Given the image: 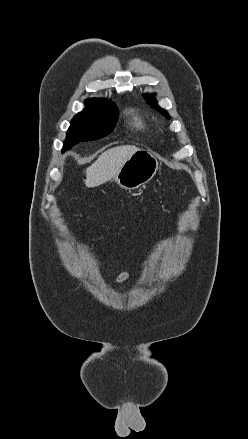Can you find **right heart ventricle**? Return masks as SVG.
<instances>
[{
	"label": "right heart ventricle",
	"instance_id": "obj_1",
	"mask_svg": "<svg viewBox=\"0 0 248 439\" xmlns=\"http://www.w3.org/2000/svg\"><path fill=\"white\" fill-rule=\"evenodd\" d=\"M131 115H132V124L138 129H143L145 127V123L142 116L135 110L131 111Z\"/></svg>",
	"mask_w": 248,
	"mask_h": 439
}]
</instances>
